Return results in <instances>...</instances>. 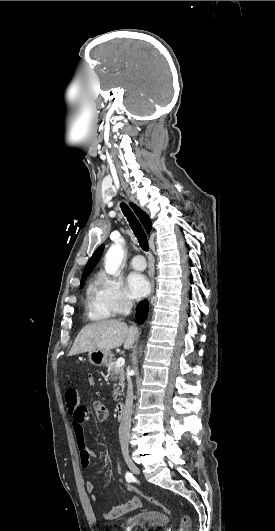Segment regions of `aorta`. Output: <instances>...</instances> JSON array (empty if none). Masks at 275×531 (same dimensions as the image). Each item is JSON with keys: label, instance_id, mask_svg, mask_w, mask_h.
<instances>
[{"label": "aorta", "instance_id": "obj_1", "mask_svg": "<svg viewBox=\"0 0 275 531\" xmlns=\"http://www.w3.org/2000/svg\"><path fill=\"white\" fill-rule=\"evenodd\" d=\"M123 259L124 251L122 245H118V243L111 245L104 257V269L106 273L108 275H117Z\"/></svg>", "mask_w": 275, "mask_h": 531}]
</instances>
